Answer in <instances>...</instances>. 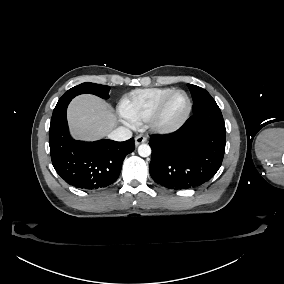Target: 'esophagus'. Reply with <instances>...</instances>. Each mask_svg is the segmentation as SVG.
<instances>
[{
  "label": "esophagus",
  "instance_id": "obj_1",
  "mask_svg": "<svg viewBox=\"0 0 284 284\" xmlns=\"http://www.w3.org/2000/svg\"><path fill=\"white\" fill-rule=\"evenodd\" d=\"M147 140V137L143 134H139L135 137V145L138 146L141 143H144Z\"/></svg>",
  "mask_w": 284,
  "mask_h": 284
}]
</instances>
